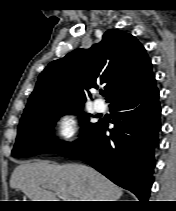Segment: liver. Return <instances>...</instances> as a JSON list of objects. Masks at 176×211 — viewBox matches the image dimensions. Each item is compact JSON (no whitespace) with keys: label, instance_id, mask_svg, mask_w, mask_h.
Returning a JSON list of instances; mask_svg holds the SVG:
<instances>
[{"label":"liver","instance_id":"obj_1","mask_svg":"<svg viewBox=\"0 0 176 211\" xmlns=\"http://www.w3.org/2000/svg\"><path fill=\"white\" fill-rule=\"evenodd\" d=\"M10 187L21 190L31 201H59L56 190L65 191L78 201H118L123 194L120 187L89 166L56 165L41 160L17 166Z\"/></svg>","mask_w":176,"mask_h":211}]
</instances>
